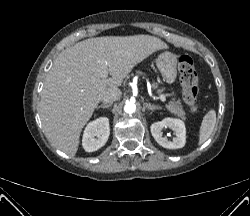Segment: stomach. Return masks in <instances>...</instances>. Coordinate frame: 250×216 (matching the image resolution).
<instances>
[{"label":"stomach","mask_w":250,"mask_h":216,"mask_svg":"<svg viewBox=\"0 0 250 216\" xmlns=\"http://www.w3.org/2000/svg\"><path fill=\"white\" fill-rule=\"evenodd\" d=\"M157 68L162 74L164 80L168 83H174L177 78V56L164 52L156 60Z\"/></svg>","instance_id":"0dacf381"}]
</instances>
